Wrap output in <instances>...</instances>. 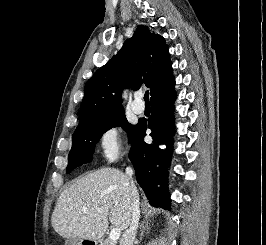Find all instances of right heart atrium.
<instances>
[{
    "mask_svg": "<svg viewBox=\"0 0 266 245\" xmlns=\"http://www.w3.org/2000/svg\"><path fill=\"white\" fill-rule=\"evenodd\" d=\"M97 155L102 163L116 161L123 151V134L119 126L113 125L103 130L96 141Z\"/></svg>",
    "mask_w": 266,
    "mask_h": 245,
    "instance_id": "obj_1",
    "label": "right heart atrium"
}]
</instances>
